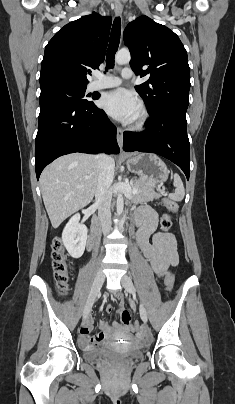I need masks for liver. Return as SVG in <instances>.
Wrapping results in <instances>:
<instances>
[{"label":"liver","instance_id":"obj_1","mask_svg":"<svg viewBox=\"0 0 235 404\" xmlns=\"http://www.w3.org/2000/svg\"><path fill=\"white\" fill-rule=\"evenodd\" d=\"M98 173V157L81 153L64 155L43 170L40 188L53 228L92 201Z\"/></svg>","mask_w":235,"mask_h":404}]
</instances>
